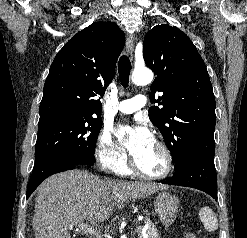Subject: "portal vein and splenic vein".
<instances>
[{
  "instance_id": "portal-vein-and-splenic-vein-1",
  "label": "portal vein and splenic vein",
  "mask_w": 247,
  "mask_h": 238,
  "mask_svg": "<svg viewBox=\"0 0 247 238\" xmlns=\"http://www.w3.org/2000/svg\"><path fill=\"white\" fill-rule=\"evenodd\" d=\"M77 228L84 231L85 233L96 235L97 237L100 235V232L94 229L93 227L89 226L87 223H78ZM142 231L143 235H145V229L142 228V226H138L135 229L136 233H140ZM146 237V236H144Z\"/></svg>"
}]
</instances>
